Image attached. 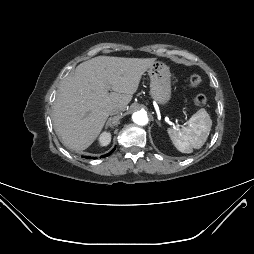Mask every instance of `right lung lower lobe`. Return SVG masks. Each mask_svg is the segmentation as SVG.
Listing matches in <instances>:
<instances>
[{
	"label": "right lung lower lobe",
	"instance_id": "1",
	"mask_svg": "<svg viewBox=\"0 0 254 254\" xmlns=\"http://www.w3.org/2000/svg\"><path fill=\"white\" fill-rule=\"evenodd\" d=\"M114 150H115V149H113V150H112L111 152H109L108 154L103 155L102 157H106V156L110 155ZM85 158H91V157H86V156H85Z\"/></svg>",
	"mask_w": 254,
	"mask_h": 254
}]
</instances>
